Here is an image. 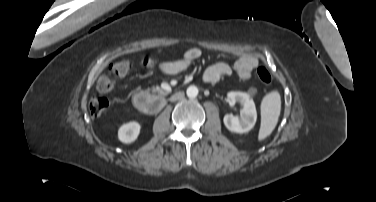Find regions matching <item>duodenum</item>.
<instances>
[{"mask_svg": "<svg viewBox=\"0 0 376 202\" xmlns=\"http://www.w3.org/2000/svg\"><path fill=\"white\" fill-rule=\"evenodd\" d=\"M134 107L145 114H154L159 112L164 106L163 95L149 94L146 92H137L132 97Z\"/></svg>", "mask_w": 376, "mask_h": 202, "instance_id": "410a0bca", "label": "duodenum"}]
</instances>
